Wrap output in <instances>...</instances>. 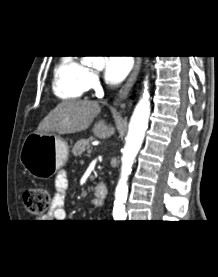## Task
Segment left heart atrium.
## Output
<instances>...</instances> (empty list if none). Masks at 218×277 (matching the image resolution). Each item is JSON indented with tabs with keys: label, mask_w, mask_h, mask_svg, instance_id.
<instances>
[{
	"label": "left heart atrium",
	"mask_w": 218,
	"mask_h": 277,
	"mask_svg": "<svg viewBox=\"0 0 218 277\" xmlns=\"http://www.w3.org/2000/svg\"><path fill=\"white\" fill-rule=\"evenodd\" d=\"M132 61L126 57L109 56L105 62V77L109 83L121 82L129 73Z\"/></svg>",
	"instance_id": "obj_1"
}]
</instances>
